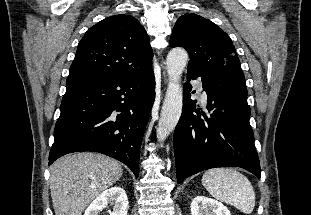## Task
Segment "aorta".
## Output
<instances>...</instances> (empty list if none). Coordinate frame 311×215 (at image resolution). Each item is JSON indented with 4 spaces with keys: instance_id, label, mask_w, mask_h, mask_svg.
Wrapping results in <instances>:
<instances>
[{
    "instance_id": "762f6f07",
    "label": "aorta",
    "mask_w": 311,
    "mask_h": 215,
    "mask_svg": "<svg viewBox=\"0 0 311 215\" xmlns=\"http://www.w3.org/2000/svg\"><path fill=\"white\" fill-rule=\"evenodd\" d=\"M187 62L188 53L183 48H173L167 55L166 69L169 82L156 129L159 142H163L170 135L180 119L183 105L180 79Z\"/></svg>"
}]
</instances>
